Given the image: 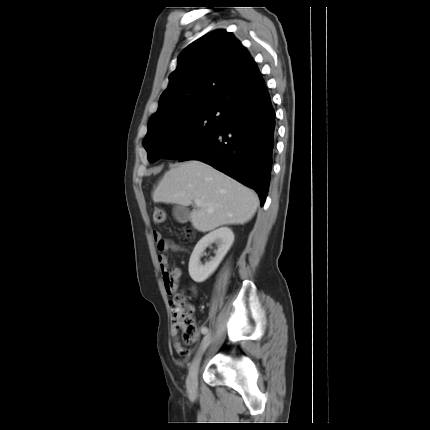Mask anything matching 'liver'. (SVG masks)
Here are the masks:
<instances>
[{"label": "liver", "mask_w": 430, "mask_h": 430, "mask_svg": "<svg viewBox=\"0 0 430 430\" xmlns=\"http://www.w3.org/2000/svg\"><path fill=\"white\" fill-rule=\"evenodd\" d=\"M154 202L189 206L200 199L203 206L193 210L195 229L208 232L222 225L244 224L257 210V195L233 178L198 160L179 164L167 171L152 193Z\"/></svg>", "instance_id": "1"}]
</instances>
